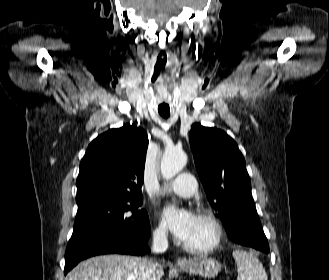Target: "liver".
<instances>
[{"mask_svg": "<svg viewBox=\"0 0 329 280\" xmlns=\"http://www.w3.org/2000/svg\"><path fill=\"white\" fill-rule=\"evenodd\" d=\"M143 260L117 254L92 257L73 269L66 280H141L140 266ZM163 274L161 266L155 273V280H160Z\"/></svg>", "mask_w": 329, "mask_h": 280, "instance_id": "liver-1", "label": "liver"}]
</instances>
